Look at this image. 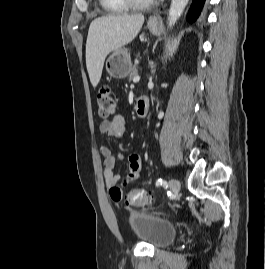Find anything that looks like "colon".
I'll return each instance as SVG.
<instances>
[{"label": "colon", "mask_w": 265, "mask_h": 269, "mask_svg": "<svg viewBox=\"0 0 265 269\" xmlns=\"http://www.w3.org/2000/svg\"><path fill=\"white\" fill-rule=\"evenodd\" d=\"M98 113L101 118H109L116 111V103L109 86H103L97 95ZM110 194L113 198L121 200L124 198L127 203L134 206L145 207L151 202V194L142 190L134 189L126 194L118 186H113L110 189Z\"/></svg>", "instance_id": "5ec220e1"}]
</instances>
